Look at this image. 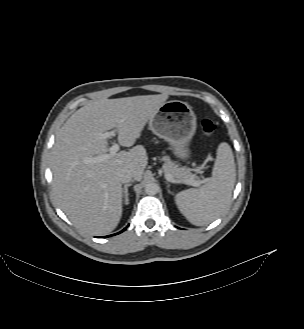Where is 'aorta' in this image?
Returning a JSON list of instances; mask_svg holds the SVG:
<instances>
[{"label":"aorta","mask_w":304,"mask_h":329,"mask_svg":"<svg viewBox=\"0 0 304 329\" xmlns=\"http://www.w3.org/2000/svg\"><path fill=\"white\" fill-rule=\"evenodd\" d=\"M159 191V186L156 183H148L145 185V193L148 195H155Z\"/></svg>","instance_id":"762f6f07"}]
</instances>
